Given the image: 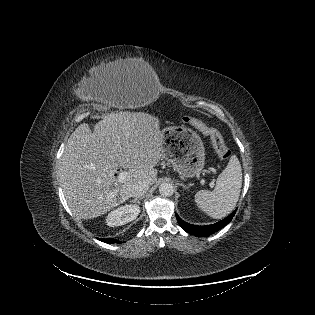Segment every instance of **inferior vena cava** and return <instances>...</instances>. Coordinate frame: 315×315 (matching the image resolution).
<instances>
[{
  "mask_svg": "<svg viewBox=\"0 0 315 315\" xmlns=\"http://www.w3.org/2000/svg\"><path fill=\"white\" fill-rule=\"evenodd\" d=\"M151 186V183L148 181H143L135 185L132 189L131 196L135 198H139L144 196V194L147 192L149 187Z\"/></svg>",
  "mask_w": 315,
  "mask_h": 315,
  "instance_id": "inferior-vena-cava-1",
  "label": "inferior vena cava"
}]
</instances>
